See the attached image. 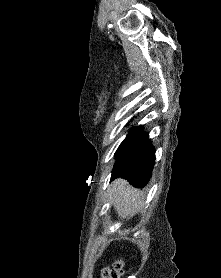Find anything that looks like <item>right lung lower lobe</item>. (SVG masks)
Here are the masks:
<instances>
[{"label":"right lung lower lobe","mask_w":221,"mask_h":278,"mask_svg":"<svg viewBox=\"0 0 221 278\" xmlns=\"http://www.w3.org/2000/svg\"><path fill=\"white\" fill-rule=\"evenodd\" d=\"M116 158L111 180L125 178L137 188L147 185L155 161V150L147 133L140 130L117 150Z\"/></svg>","instance_id":"98d812e1"}]
</instances>
